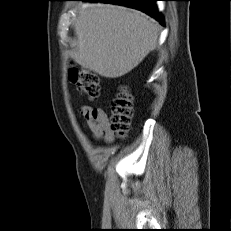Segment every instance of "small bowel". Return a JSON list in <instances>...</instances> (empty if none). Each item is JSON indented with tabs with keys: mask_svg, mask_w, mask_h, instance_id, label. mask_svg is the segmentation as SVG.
<instances>
[{
	"mask_svg": "<svg viewBox=\"0 0 231 231\" xmlns=\"http://www.w3.org/2000/svg\"><path fill=\"white\" fill-rule=\"evenodd\" d=\"M80 112L84 118V125L95 138H111L110 122L107 114L101 108L83 106Z\"/></svg>",
	"mask_w": 231,
	"mask_h": 231,
	"instance_id": "1",
	"label": "small bowel"
}]
</instances>
